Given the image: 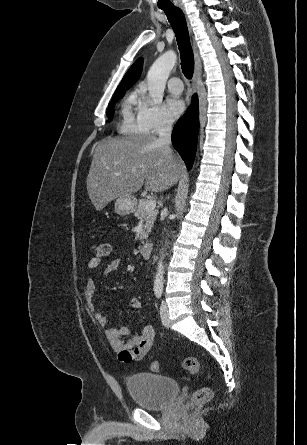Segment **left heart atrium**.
I'll list each match as a JSON object with an SVG mask.
<instances>
[{"mask_svg": "<svg viewBox=\"0 0 307 445\" xmlns=\"http://www.w3.org/2000/svg\"><path fill=\"white\" fill-rule=\"evenodd\" d=\"M168 112L173 117H179L185 110V103L182 98L170 96L165 101Z\"/></svg>", "mask_w": 307, "mask_h": 445, "instance_id": "left-heart-atrium-1", "label": "left heart atrium"}]
</instances>
